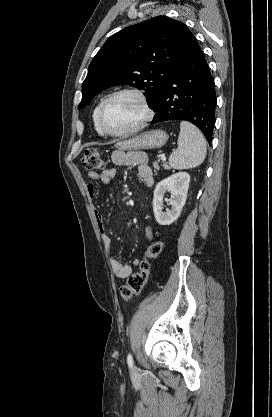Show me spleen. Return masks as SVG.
Listing matches in <instances>:
<instances>
[{"label": "spleen", "mask_w": 272, "mask_h": 417, "mask_svg": "<svg viewBox=\"0 0 272 417\" xmlns=\"http://www.w3.org/2000/svg\"><path fill=\"white\" fill-rule=\"evenodd\" d=\"M206 140L193 124L182 121L178 137V148L170 155L169 164L181 170L201 165L206 157Z\"/></svg>", "instance_id": "1"}]
</instances>
